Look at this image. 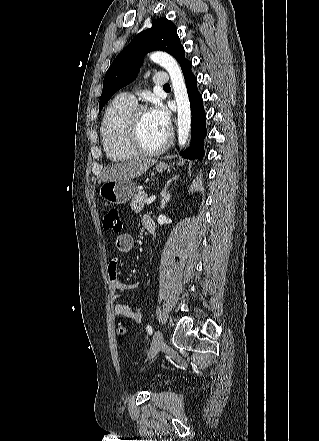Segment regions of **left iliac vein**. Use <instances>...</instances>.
<instances>
[{"label":"left iliac vein","mask_w":319,"mask_h":441,"mask_svg":"<svg viewBox=\"0 0 319 441\" xmlns=\"http://www.w3.org/2000/svg\"><path fill=\"white\" fill-rule=\"evenodd\" d=\"M163 345H164L163 334L160 330H157L153 335L152 344L148 356L150 358H153L160 351Z\"/></svg>","instance_id":"left-iliac-vein-1"}]
</instances>
